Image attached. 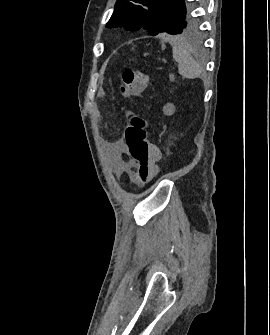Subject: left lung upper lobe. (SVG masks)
<instances>
[{
  "mask_svg": "<svg viewBox=\"0 0 270 335\" xmlns=\"http://www.w3.org/2000/svg\"><path fill=\"white\" fill-rule=\"evenodd\" d=\"M106 27L186 36L196 31L197 22L185 0H118Z\"/></svg>",
  "mask_w": 270,
  "mask_h": 335,
  "instance_id": "obj_1",
  "label": "left lung upper lobe"
}]
</instances>
